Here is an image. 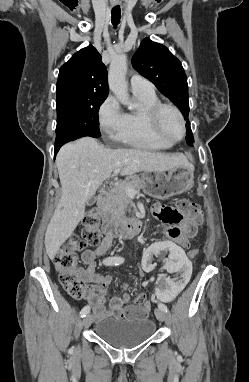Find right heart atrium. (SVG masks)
Instances as JSON below:
<instances>
[{"instance_id": "1", "label": "right heart atrium", "mask_w": 249, "mask_h": 382, "mask_svg": "<svg viewBox=\"0 0 249 382\" xmlns=\"http://www.w3.org/2000/svg\"><path fill=\"white\" fill-rule=\"evenodd\" d=\"M98 124L101 132L107 137L117 139L124 131L126 113L113 96H108L98 110Z\"/></svg>"}]
</instances>
